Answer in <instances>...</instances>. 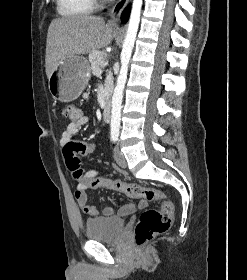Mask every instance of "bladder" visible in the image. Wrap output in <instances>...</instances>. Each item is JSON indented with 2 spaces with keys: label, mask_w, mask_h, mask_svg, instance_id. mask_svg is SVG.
Listing matches in <instances>:
<instances>
[{
  "label": "bladder",
  "mask_w": 247,
  "mask_h": 280,
  "mask_svg": "<svg viewBox=\"0 0 247 280\" xmlns=\"http://www.w3.org/2000/svg\"><path fill=\"white\" fill-rule=\"evenodd\" d=\"M124 228V220L119 217H95L85 223V235L90 240L114 241Z\"/></svg>",
  "instance_id": "1"
}]
</instances>
